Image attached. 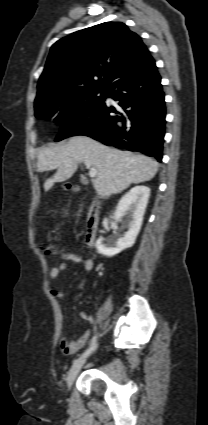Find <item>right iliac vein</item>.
Listing matches in <instances>:
<instances>
[{"label": "right iliac vein", "instance_id": "obj_1", "mask_svg": "<svg viewBox=\"0 0 208 425\" xmlns=\"http://www.w3.org/2000/svg\"><path fill=\"white\" fill-rule=\"evenodd\" d=\"M86 362V357H81L77 359L73 365L71 366L68 375H67V386L70 388L73 384L75 378L77 377L78 373L80 372L81 368Z\"/></svg>", "mask_w": 208, "mask_h": 425}]
</instances>
